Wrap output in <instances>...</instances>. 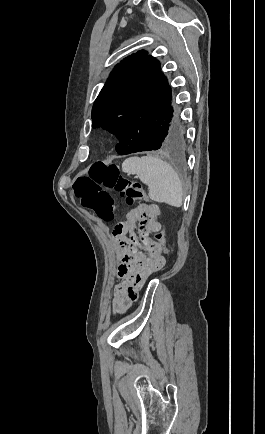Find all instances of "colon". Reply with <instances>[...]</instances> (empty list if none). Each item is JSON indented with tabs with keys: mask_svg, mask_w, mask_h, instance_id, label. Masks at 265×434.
<instances>
[{
	"mask_svg": "<svg viewBox=\"0 0 265 434\" xmlns=\"http://www.w3.org/2000/svg\"><path fill=\"white\" fill-rule=\"evenodd\" d=\"M88 170L89 172H79L76 185L78 193H75L74 199L100 218L112 221L115 216V206L109 190L119 195L129 206L145 199L142 186L122 176L117 165L91 164ZM154 240L159 241V247L162 249L159 255L165 256L164 232L157 231Z\"/></svg>",
	"mask_w": 265,
	"mask_h": 434,
	"instance_id": "obj_1",
	"label": "colon"
}]
</instances>
